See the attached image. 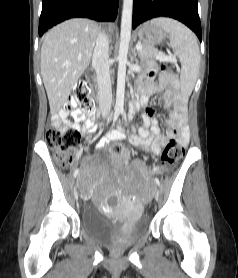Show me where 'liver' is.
<instances>
[{"label": "liver", "mask_w": 238, "mask_h": 278, "mask_svg": "<svg viewBox=\"0 0 238 278\" xmlns=\"http://www.w3.org/2000/svg\"><path fill=\"white\" fill-rule=\"evenodd\" d=\"M98 33L95 21L74 18L46 34L41 48V76L52 114L62 108L89 66Z\"/></svg>", "instance_id": "6515ba94"}]
</instances>
